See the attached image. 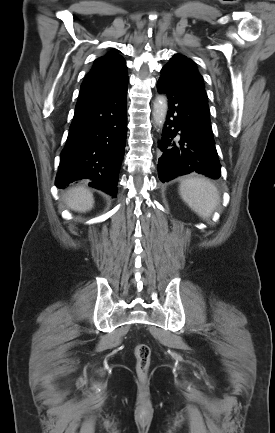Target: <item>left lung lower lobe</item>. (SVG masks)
<instances>
[{
    "mask_svg": "<svg viewBox=\"0 0 275 433\" xmlns=\"http://www.w3.org/2000/svg\"><path fill=\"white\" fill-rule=\"evenodd\" d=\"M157 90L166 93L169 100L159 144L160 181L164 183L191 172L218 179L221 165L206 109L163 78H159Z\"/></svg>",
    "mask_w": 275,
    "mask_h": 433,
    "instance_id": "0a47b994",
    "label": "left lung lower lobe"
}]
</instances>
